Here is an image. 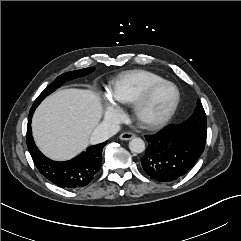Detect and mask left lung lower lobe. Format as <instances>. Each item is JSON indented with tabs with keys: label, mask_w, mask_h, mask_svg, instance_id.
I'll return each instance as SVG.
<instances>
[{
	"label": "left lung lower lobe",
	"mask_w": 241,
	"mask_h": 241,
	"mask_svg": "<svg viewBox=\"0 0 241 241\" xmlns=\"http://www.w3.org/2000/svg\"><path fill=\"white\" fill-rule=\"evenodd\" d=\"M148 147L141 158L143 170L160 182L175 181L188 173L203 153L205 143L189 128L170 125L145 136Z\"/></svg>",
	"instance_id": "1"
}]
</instances>
